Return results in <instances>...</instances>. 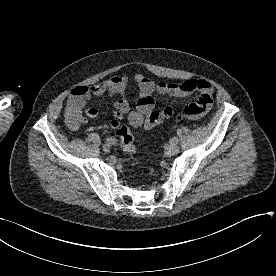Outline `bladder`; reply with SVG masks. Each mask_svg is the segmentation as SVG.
I'll return each instance as SVG.
<instances>
[{
	"instance_id": "1",
	"label": "bladder",
	"mask_w": 276,
	"mask_h": 276,
	"mask_svg": "<svg viewBox=\"0 0 276 276\" xmlns=\"http://www.w3.org/2000/svg\"><path fill=\"white\" fill-rule=\"evenodd\" d=\"M142 123V117L140 115H134L130 119V124L133 127H139Z\"/></svg>"
}]
</instances>
